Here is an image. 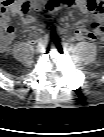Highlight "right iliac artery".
I'll use <instances>...</instances> for the list:
<instances>
[{
    "instance_id": "right-iliac-artery-1",
    "label": "right iliac artery",
    "mask_w": 104,
    "mask_h": 137,
    "mask_svg": "<svg viewBox=\"0 0 104 137\" xmlns=\"http://www.w3.org/2000/svg\"><path fill=\"white\" fill-rule=\"evenodd\" d=\"M48 40H49L48 37L45 36V37L43 38V40H41V41L47 42Z\"/></svg>"
}]
</instances>
